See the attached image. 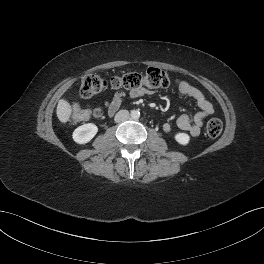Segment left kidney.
I'll return each instance as SVG.
<instances>
[{"label": "left kidney", "instance_id": "obj_1", "mask_svg": "<svg viewBox=\"0 0 264 264\" xmlns=\"http://www.w3.org/2000/svg\"><path fill=\"white\" fill-rule=\"evenodd\" d=\"M174 138L181 145H187L190 141V136L186 133H177Z\"/></svg>", "mask_w": 264, "mask_h": 264}]
</instances>
